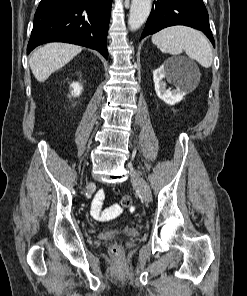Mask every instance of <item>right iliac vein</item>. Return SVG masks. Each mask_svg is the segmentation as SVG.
Listing matches in <instances>:
<instances>
[{
  "label": "right iliac vein",
  "mask_w": 247,
  "mask_h": 296,
  "mask_svg": "<svg viewBox=\"0 0 247 296\" xmlns=\"http://www.w3.org/2000/svg\"><path fill=\"white\" fill-rule=\"evenodd\" d=\"M91 185V183H87V188Z\"/></svg>",
  "instance_id": "1"
}]
</instances>
